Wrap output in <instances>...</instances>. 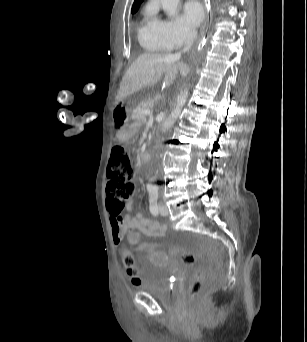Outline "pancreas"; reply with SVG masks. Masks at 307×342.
Returning a JSON list of instances; mask_svg holds the SVG:
<instances>
[{
  "label": "pancreas",
  "mask_w": 307,
  "mask_h": 342,
  "mask_svg": "<svg viewBox=\"0 0 307 342\" xmlns=\"http://www.w3.org/2000/svg\"><path fill=\"white\" fill-rule=\"evenodd\" d=\"M153 106V100H146V102H140L137 107L134 109V117L135 119H142L144 117V114L142 113L143 110H149V108H152Z\"/></svg>",
  "instance_id": "pancreas-1"
}]
</instances>
